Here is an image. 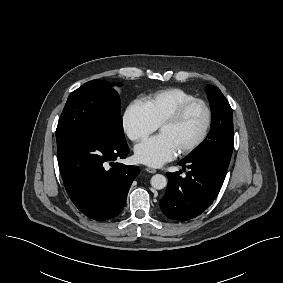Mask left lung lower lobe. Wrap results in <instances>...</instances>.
Here are the masks:
<instances>
[{
	"mask_svg": "<svg viewBox=\"0 0 283 283\" xmlns=\"http://www.w3.org/2000/svg\"><path fill=\"white\" fill-rule=\"evenodd\" d=\"M189 171L167 173L169 184L159 201L162 212L170 219L185 221L200 215L218 195L228 169L213 158H186L179 162ZM185 171V169H183Z\"/></svg>",
	"mask_w": 283,
	"mask_h": 283,
	"instance_id": "1",
	"label": "left lung lower lobe"
}]
</instances>
